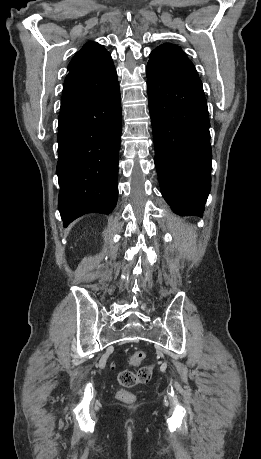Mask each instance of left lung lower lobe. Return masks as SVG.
Listing matches in <instances>:
<instances>
[{
  "label": "left lung lower lobe",
  "mask_w": 261,
  "mask_h": 459,
  "mask_svg": "<svg viewBox=\"0 0 261 459\" xmlns=\"http://www.w3.org/2000/svg\"><path fill=\"white\" fill-rule=\"evenodd\" d=\"M155 165L174 213L202 216L211 188L209 114L199 77L147 65Z\"/></svg>",
  "instance_id": "1"
}]
</instances>
